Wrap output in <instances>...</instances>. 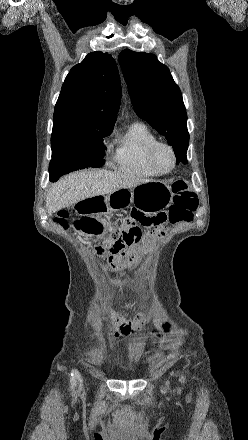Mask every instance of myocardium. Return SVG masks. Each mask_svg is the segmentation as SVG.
I'll return each mask as SVG.
<instances>
[{
    "label": "myocardium",
    "instance_id": "obj_1",
    "mask_svg": "<svg viewBox=\"0 0 248 440\" xmlns=\"http://www.w3.org/2000/svg\"><path fill=\"white\" fill-rule=\"evenodd\" d=\"M162 148L167 149L171 153V156L173 159L172 166L167 170L162 169L157 162V154H158L159 150ZM147 161H148V164L150 165V167L154 171H156L158 174H162V175L169 174L170 172H172L175 169V167L177 166V162H178L177 154H176L173 146L170 145L169 143L161 142V141H157L156 143L151 145V147L149 148V150L147 152Z\"/></svg>",
    "mask_w": 248,
    "mask_h": 440
}]
</instances>
